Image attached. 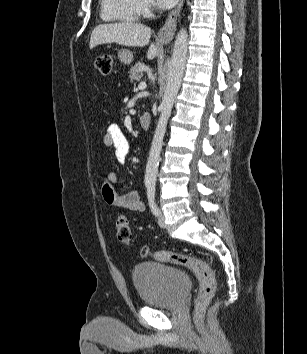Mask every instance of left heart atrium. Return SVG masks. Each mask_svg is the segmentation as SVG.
Wrapping results in <instances>:
<instances>
[{
  "mask_svg": "<svg viewBox=\"0 0 307 354\" xmlns=\"http://www.w3.org/2000/svg\"><path fill=\"white\" fill-rule=\"evenodd\" d=\"M178 0H154L155 4L160 8H170L176 4Z\"/></svg>",
  "mask_w": 307,
  "mask_h": 354,
  "instance_id": "1",
  "label": "left heart atrium"
}]
</instances>
